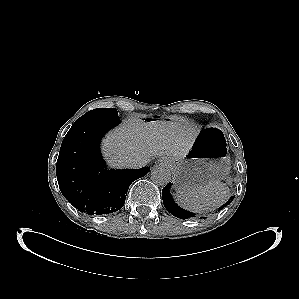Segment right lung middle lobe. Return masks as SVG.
<instances>
[{
	"label": "right lung middle lobe",
	"mask_w": 299,
	"mask_h": 299,
	"mask_svg": "<svg viewBox=\"0 0 299 299\" xmlns=\"http://www.w3.org/2000/svg\"><path fill=\"white\" fill-rule=\"evenodd\" d=\"M117 119L118 112L115 108H97L81 116L74 122V124L96 121H111Z\"/></svg>",
	"instance_id": "right-lung-middle-lobe-1"
}]
</instances>
